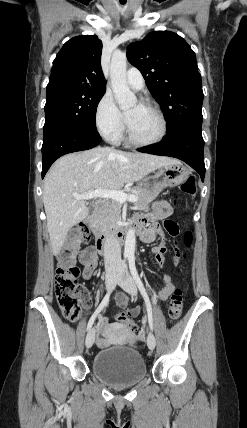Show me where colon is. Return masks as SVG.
Here are the masks:
<instances>
[{
    "mask_svg": "<svg viewBox=\"0 0 247 428\" xmlns=\"http://www.w3.org/2000/svg\"><path fill=\"white\" fill-rule=\"evenodd\" d=\"M181 191L194 197L197 192V183L194 177L188 178L182 185ZM168 231L172 235L178 232L176 224L169 222L167 224ZM89 229L84 224H79L74 227L71 234V243L64 247L57 258V269L55 275V294L59 308L63 316L69 321H76L81 314L80 301L85 295L83 286L79 283L80 270L75 263V254L79 244H87L90 241ZM193 242V235L190 231H186L183 236V248L176 247L175 258L178 263L186 260V249H188ZM88 264H92V260H87ZM142 304L136 303L135 309L126 308L116 311V321L124 325L126 331L136 333L139 330L138 325L133 323L135 317L142 314ZM183 309V293L180 289H175L169 301L168 318L171 322L178 320L182 314ZM137 339V336H133ZM130 347L136 346L135 340L129 341Z\"/></svg>",
    "mask_w": 247,
    "mask_h": 428,
    "instance_id": "1",
    "label": "colon"
}]
</instances>
